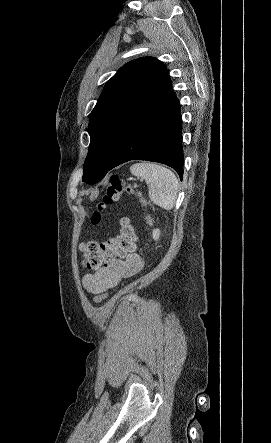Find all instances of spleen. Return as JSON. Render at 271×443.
Returning <instances> with one entry per match:
<instances>
[{
  "mask_svg": "<svg viewBox=\"0 0 271 443\" xmlns=\"http://www.w3.org/2000/svg\"><path fill=\"white\" fill-rule=\"evenodd\" d=\"M130 172L133 176L145 180L149 198L153 204L164 210H172L176 200L178 180L171 170L158 164L141 162V164L131 166Z\"/></svg>",
  "mask_w": 271,
  "mask_h": 443,
  "instance_id": "1",
  "label": "spleen"
}]
</instances>
